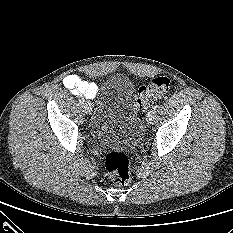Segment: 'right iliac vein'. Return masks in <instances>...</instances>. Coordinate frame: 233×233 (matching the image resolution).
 I'll list each match as a JSON object with an SVG mask.
<instances>
[{"label":"right iliac vein","instance_id":"1","mask_svg":"<svg viewBox=\"0 0 233 233\" xmlns=\"http://www.w3.org/2000/svg\"><path fill=\"white\" fill-rule=\"evenodd\" d=\"M83 108L87 114H91L92 107H91V104L89 102L83 103Z\"/></svg>","mask_w":233,"mask_h":233}]
</instances>
